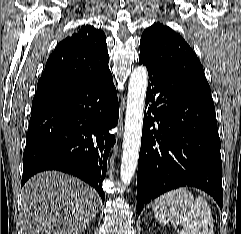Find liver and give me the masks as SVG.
<instances>
[{
    "mask_svg": "<svg viewBox=\"0 0 241 234\" xmlns=\"http://www.w3.org/2000/svg\"><path fill=\"white\" fill-rule=\"evenodd\" d=\"M25 234H79L93 221L99 195L73 176L45 171L23 187Z\"/></svg>",
    "mask_w": 241,
    "mask_h": 234,
    "instance_id": "1",
    "label": "liver"
}]
</instances>
